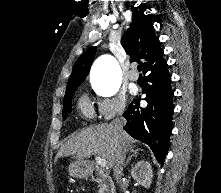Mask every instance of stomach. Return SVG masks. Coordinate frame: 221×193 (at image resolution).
Returning <instances> with one entry per match:
<instances>
[{"instance_id": "1", "label": "stomach", "mask_w": 221, "mask_h": 193, "mask_svg": "<svg viewBox=\"0 0 221 193\" xmlns=\"http://www.w3.org/2000/svg\"><path fill=\"white\" fill-rule=\"evenodd\" d=\"M68 171H69V174L75 178H83L88 173L86 163L81 160H78V161L70 164Z\"/></svg>"}]
</instances>
